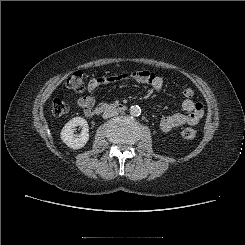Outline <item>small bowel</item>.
I'll return each instance as SVG.
<instances>
[{"label":"small bowel","mask_w":245,"mask_h":245,"mask_svg":"<svg viewBox=\"0 0 245 245\" xmlns=\"http://www.w3.org/2000/svg\"><path fill=\"white\" fill-rule=\"evenodd\" d=\"M122 80H134L142 84H148L156 92H161L164 85L163 79L159 75L149 70H141L103 78H92L87 84V90L91 92L101 84ZM94 105L95 99L90 95L79 97L77 100V106L88 116L91 115ZM182 108L184 113L163 114L161 116L160 128L162 131L168 132L183 125H195L204 115L203 104L193 101L191 97H186L183 100Z\"/></svg>","instance_id":"1"}]
</instances>
